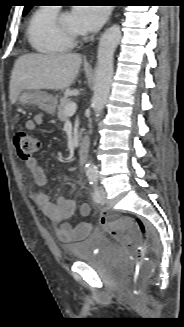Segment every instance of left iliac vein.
<instances>
[{"label":"left iliac vein","instance_id":"left-iliac-vein-1","mask_svg":"<svg viewBox=\"0 0 184 327\" xmlns=\"http://www.w3.org/2000/svg\"><path fill=\"white\" fill-rule=\"evenodd\" d=\"M99 193H100V203L105 204L107 201L105 190L103 188H100Z\"/></svg>","mask_w":184,"mask_h":327}]
</instances>
